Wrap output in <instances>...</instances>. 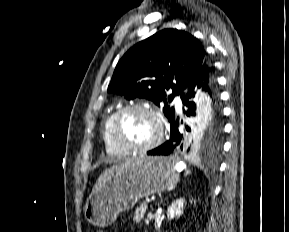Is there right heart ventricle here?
I'll use <instances>...</instances> for the list:
<instances>
[{
    "mask_svg": "<svg viewBox=\"0 0 289 232\" xmlns=\"http://www.w3.org/2000/svg\"><path fill=\"white\" fill-rule=\"evenodd\" d=\"M115 113H116V110H113L109 112L104 118L103 123H102V130H101L102 139H103L105 150L108 154L112 156H125L128 153L118 148L113 142L112 137H111L110 129H111L112 119Z\"/></svg>",
    "mask_w": 289,
    "mask_h": 232,
    "instance_id": "e07e8e85",
    "label": "right heart ventricle"
}]
</instances>
